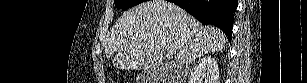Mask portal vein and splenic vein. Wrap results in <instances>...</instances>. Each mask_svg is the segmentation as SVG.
<instances>
[{"label":"portal vein and splenic vein","instance_id":"portal-vein-and-splenic-vein-1","mask_svg":"<svg viewBox=\"0 0 307 83\" xmlns=\"http://www.w3.org/2000/svg\"><path fill=\"white\" fill-rule=\"evenodd\" d=\"M175 50L174 49H168L167 50V54L169 55V56H172L173 54H175Z\"/></svg>","mask_w":307,"mask_h":83}]
</instances>
